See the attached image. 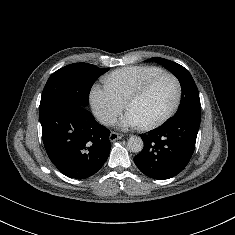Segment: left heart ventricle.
I'll list each match as a JSON object with an SVG mask.
<instances>
[{"mask_svg":"<svg viewBox=\"0 0 235 235\" xmlns=\"http://www.w3.org/2000/svg\"><path fill=\"white\" fill-rule=\"evenodd\" d=\"M176 85L170 78L158 80L140 99L133 102L128 111L134 114L141 125L163 116L174 103Z\"/></svg>","mask_w":235,"mask_h":235,"instance_id":"obj_1","label":"left heart ventricle"}]
</instances>
